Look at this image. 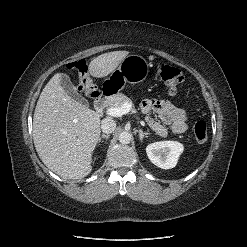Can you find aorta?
Returning <instances> with one entry per match:
<instances>
[{
  "mask_svg": "<svg viewBox=\"0 0 247 247\" xmlns=\"http://www.w3.org/2000/svg\"><path fill=\"white\" fill-rule=\"evenodd\" d=\"M118 140L121 144H129L132 140V135L128 132H122L119 134Z\"/></svg>",
  "mask_w": 247,
  "mask_h": 247,
  "instance_id": "obj_1",
  "label": "aorta"
}]
</instances>
